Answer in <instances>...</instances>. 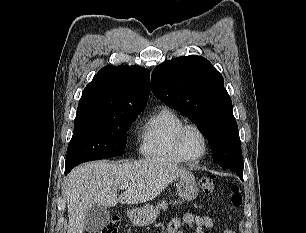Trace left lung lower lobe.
Returning <instances> with one entry per match:
<instances>
[{"label":"left lung lower lobe","mask_w":306,"mask_h":233,"mask_svg":"<svg viewBox=\"0 0 306 233\" xmlns=\"http://www.w3.org/2000/svg\"><path fill=\"white\" fill-rule=\"evenodd\" d=\"M234 172H236L239 176H240V178L242 179L243 178V170H233Z\"/></svg>","instance_id":"obj_1"}]
</instances>
